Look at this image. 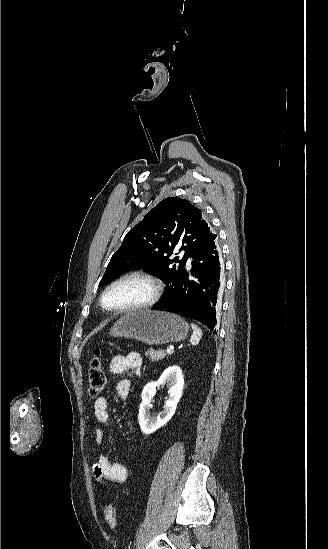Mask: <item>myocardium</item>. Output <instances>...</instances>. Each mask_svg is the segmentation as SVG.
I'll use <instances>...</instances> for the list:
<instances>
[{
  "label": "myocardium",
  "mask_w": 328,
  "mask_h": 549,
  "mask_svg": "<svg viewBox=\"0 0 328 549\" xmlns=\"http://www.w3.org/2000/svg\"><path fill=\"white\" fill-rule=\"evenodd\" d=\"M132 277L142 279L148 284L150 292L147 298L141 302L122 307L108 306L105 303V296L107 295V293L124 280ZM162 290V281L155 274L146 270L144 267H133L117 276L104 287L99 297V308L101 311L113 316H122L132 313L149 311L153 309L155 304L158 302L159 298L161 297Z\"/></svg>",
  "instance_id": "obj_1"
}]
</instances>
